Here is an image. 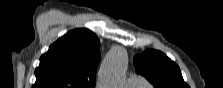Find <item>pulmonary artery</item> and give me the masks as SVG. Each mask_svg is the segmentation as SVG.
Listing matches in <instances>:
<instances>
[{
  "label": "pulmonary artery",
  "mask_w": 223,
  "mask_h": 88,
  "mask_svg": "<svg viewBox=\"0 0 223 88\" xmlns=\"http://www.w3.org/2000/svg\"><path fill=\"white\" fill-rule=\"evenodd\" d=\"M128 84L132 87V88H138V87H144L147 85L146 80L138 75H131L128 79Z\"/></svg>",
  "instance_id": "1"
}]
</instances>
